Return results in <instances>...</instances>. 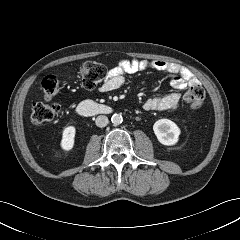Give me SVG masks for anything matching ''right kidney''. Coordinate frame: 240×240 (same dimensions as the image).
Segmentation results:
<instances>
[{
  "label": "right kidney",
  "mask_w": 240,
  "mask_h": 240,
  "mask_svg": "<svg viewBox=\"0 0 240 240\" xmlns=\"http://www.w3.org/2000/svg\"><path fill=\"white\" fill-rule=\"evenodd\" d=\"M75 133L76 129L74 126H68L64 128L60 143V146L64 151H70L73 148Z\"/></svg>",
  "instance_id": "1"
}]
</instances>
